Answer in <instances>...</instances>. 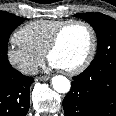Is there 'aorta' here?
<instances>
[{"label":"aorta","instance_id":"obj_1","mask_svg":"<svg viewBox=\"0 0 116 116\" xmlns=\"http://www.w3.org/2000/svg\"><path fill=\"white\" fill-rule=\"evenodd\" d=\"M52 86L58 93H67L70 90L71 84L66 77L57 75L52 78Z\"/></svg>","mask_w":116,"mask_h":116}]
</instances>
